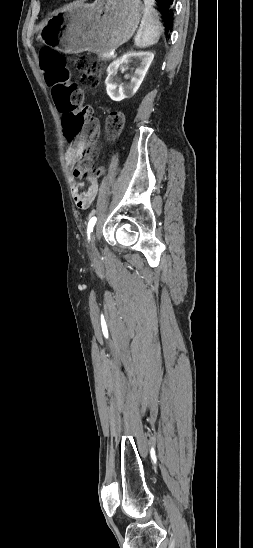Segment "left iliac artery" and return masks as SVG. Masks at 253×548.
I'll list each match as a JSON object with an SVG mask.
<instances>
[{
    "mask_svg": "<svg viewBox=\"0 0 253 548\" xmlns=\"http://www.w3.org/2000/svg\"><path fill=\"white\" fill-rule=\"evenodd\" d=\"M96 220L97 218L94 216L92 217L90 220H89V223H88V228H87V236H88V239H90V234L91 232H93V228H94V225L96 223Z\"/></svg>",
    "mask_w": 253,
    "mask_h": 548,
    "instance_id": "left-iliac-artery-1",
    "label": "left iliac artery"
}]
</instances>
